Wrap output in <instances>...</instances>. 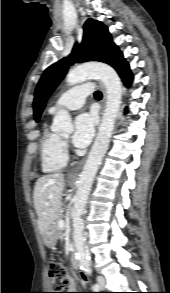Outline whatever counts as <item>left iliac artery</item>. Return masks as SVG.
Instances as JSON below:
<instances>
[{"instance_id":"left-iliac-artery-1","label":"left iliac artery","mask_w":170,"mask_h":293,"mask_svg":"<svg viewBox=\"0 0 170 293\" xmlns=\"http://www.w3.org/2000/svg\"><path fill=\"white\" fill-rule=\"evenodd\" d=\"M83 270L87 273V274H91L92 273V269L89 266H86L85 268H83ZM99 285L98 284H94L93 285V290L98 291Z\"/></svg>"}]
</instances>
